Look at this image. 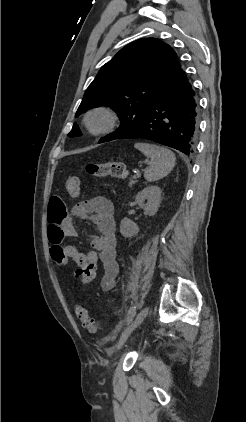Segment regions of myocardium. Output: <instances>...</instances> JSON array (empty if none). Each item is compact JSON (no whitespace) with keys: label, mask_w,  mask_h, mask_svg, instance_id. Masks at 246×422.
I'll return each mask as SVG.
<instances>
[{"label":"myocardium","mask_w":246,"mask_h":422,"mask_svg":"<svg viewBox=\"0 0 246 422\" xmlns=\"http://www.w3.org/2000/svg\"><path fill=\"white\" fill-rule=\"evenodd\" d=\"M100 118L98 125H93L92 120ZM118 114L108 106H96L89 109L83 117L85 129L92 135H103L112 132L118 124Z\"/></svg>","instance_id":"f54148a6"}]
</instances>
